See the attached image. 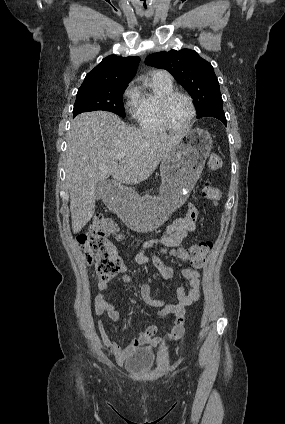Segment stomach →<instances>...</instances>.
I'll list each match as a JSON object with an SVG mask.
<instances>
[{
	"label": "stomach",
	"instance_id": "stomach-1",
	"mask_svg": "<svg viewBox=\"0 0 285 424\" xmlns=\"http://www.w3.org/2000/svg\"><path fill=\"white\" fill-rule=\"evenodd\" d=\"M212 143L207 131H192L162 160V183L158 196L124 195L120 191L114 195L109 206L136 231L157 229L186 201L202 173Z\"/></svg>",
	"mask_w": 285,
	"mask_h": 424
}]
</instances>
